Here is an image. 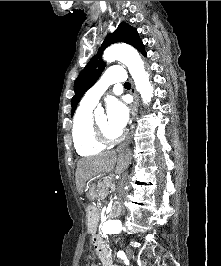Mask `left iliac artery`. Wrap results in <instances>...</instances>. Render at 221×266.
Wrapping results in <instances>:
<instances>
[{"mask_svg":"<svg viewBox=\"0 0 221 266\" xmlns=\"http://www.w3.org/2000/svg\"><path fill=\"white\" fill-rule=\"evenodd\" d=\"M117 257H119L121 259H125L126 258V255H125L124 251H118Z\"/></svg>","mask_w":221,"mask_h":266,"instance_id":"1","label":"left iliac artery"}]
</instances>
